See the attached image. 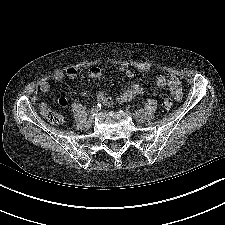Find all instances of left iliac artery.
Returning <instances> with one entry per match:
<instances>
[{
	"label": "left iliac artery",
	"mask_w": 225,
	"mask_h": 225,
	"mask_svg": "<svg viewBox=\"0 0 225 225\" xmlns=\"http://www.w3.org/2000/svg\"><path fill=\"white\" fill-rule=\"evenodd\" d=\"M138 112L141 114H147V109H140Z\"/></svg>",
	"instance_id": "44dca946"
}]
</instances>
